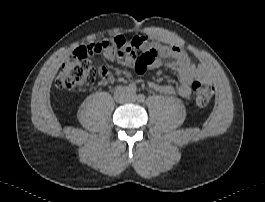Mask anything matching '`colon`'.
<instances>
[{
    "label": "colon",
    "mask_w": 265,
    "mask_h": 202,
    "mask_svg": "<svg viewBox=\"0 0 265 202\" xmlns=\"http://www.w3.org/2000/svg\"><path fill=\"white\" fill-rule=\"evenodd\" d=\"M105 51H116L124 55L137 51L134 69L140 75L146 71L147 60L155 55L154 49L144 45L143 38L114 37L91 44L87 47L86 53L72 54L63 62L56 78L57 88L75 92L92 84L97 77H109L110 72L107 69L95 67L88 59L90 54L98 55ZM192 90L199 107H207L211 103L214 95L212 85L195 81L192 84Z\"/></svg>",
    "instance_id": "1"
}]
</instances>
